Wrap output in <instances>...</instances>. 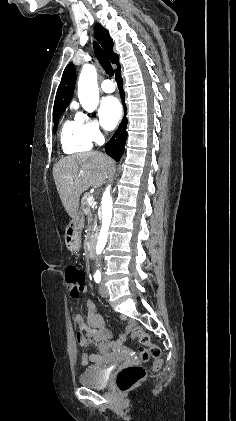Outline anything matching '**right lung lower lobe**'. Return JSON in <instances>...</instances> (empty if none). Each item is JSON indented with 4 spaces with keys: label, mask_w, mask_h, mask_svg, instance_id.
I'll return each mask as SVG.
<instances>
[{
    "label": "right lung lower lobe",
    "mask_w": 236,
    "mask_h": 421,
    "mask_svg": "<svg viewBox=\"0 0 236 421\" xmlns=\"http://www.w3.org/2000/svg\"><path fill=\"white\" fill-rule=\"evenodd\" d=\"M120 70L121 68H119V70L115 72L116 73L115 78H116V82L118 84L122 102L126 111V107L124 103V91L122 88L123 82H122ZM126 125H127V118L126 116H124L123 121L121 125L119 126L118 130L116 131L112 139L105 145L106 153L109 156H111L115 161H119V159L121 158L124 152L125 141L127 139Z\"/></svg>",
    "instance_id": "1"
}]
</instances>
